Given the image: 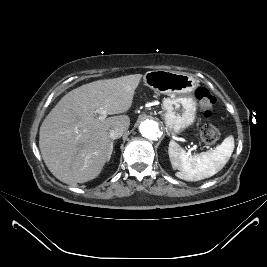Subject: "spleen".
Here are the masks:
<instances>
[{"mask_svg": "<svg viewBox=\"0 0 267 267\" xmlns=\"http://www.w3.org/2000/svg\"><path fill=\"white\" fill-rule=\"evenodd\" d=\"M234 150V137L228 136L214 150L190 154L175 141H170L168 154L176 176L186 181H199L218 173L226 165Z\"/></svg>", "mask_w": 267, "mask_h": 267, "instance_id": "spleen-1", "label": "spleen"}]
</instances>
